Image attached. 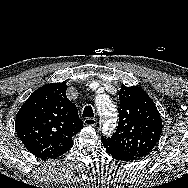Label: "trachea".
I'll use <instances>...</instances> for the list:
<instances>
[{
    "label": "trachea",
    "instance_id": "1",
    "mask_svg": "<svg viewBox=\"0 0 188 188\" xmlns=\"http://www.w3.org/2000/svg\"><path fill=\"white\" fill-rule=\"evenodd\" d=\"M82 117H84V118L94 117V112H93V109L91 106L88 105L84 108Z\"/></svg>",
    "mask_w": 188,
    "mask_h": 188
}]
</instances>
